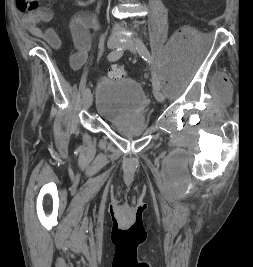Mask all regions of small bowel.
Returning a JSON list of instances; mask_svg holds the SVG:
<instances>
[{"instance_id":"obj_1","label":"small bowel","mask_w":253,"mask_h":267,"mask_svg":"<svg viewBox=\"0 0 253 267\" xmlns=\"http://www.w3.org/2000/svg\"><path fill=\"white\" fill-rule=\"evenodd\" d=\"M94 1L95 0H76V4L80 7H84L93 4ZM52 18V11L44 8L38 12L24 15L22 17V24L31 35L43 40L51 48L59 50L62 43L55 29L50 26L43 27V25L48 24ZM69 28L76 48V52L71 56L70 62L73 68L78 69L84 64L94 47L97 35L101 31L102 26L95 13L80 11L70 18ZM91 31H94L95 34H92Z\"/></svg>"}]
</instances>
